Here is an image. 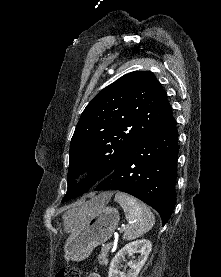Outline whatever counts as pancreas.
Here are the masks:
<instances>
[{"mask_svg":"<svg viewBox=\"0 0 221 277\" xmlns=\"http://www.w3.org/2000/svg\"><path fill=\"white\" fill-rule=\"evenodd\" d=\"M108 252H109V250H107L105 248H102L101 253L98 257V261H99L100 265L107 264V262H108L107 261Z\"/></svg>","mask_w":221,"mask_h":277,"instance_id":"1","label":"pancreas"}]
</instances>
